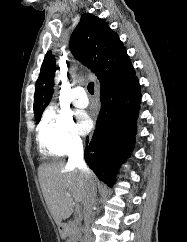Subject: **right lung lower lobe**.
Wrapping results in <instances>:
<instances>
[{
	"label": "right lung lower lobe",
	"instance_id": "1",
	"mask_svg": "<svg viewBox=\"0 0 187 242\" xmlns=\"http://www.w3.org/2000/svg\"><path fill=\"white\" fill-rule=\"evenodd\" d=\"M100 99L96 130L85 148L84 158L96 176L112 186L119 164L128 157L135 143L141 102L140 85L135 73L100 88Z\"/></svg>",
	"mask_w": 187,
	"mask_h": 242
}]
</instances>
